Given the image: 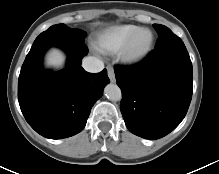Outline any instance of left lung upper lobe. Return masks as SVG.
Segmentation results:
<instances>
[{
    "label": "left lung upper lobe",
    "mask_w": 219,
    "mask_h": 174,
    "mask_svg": "<svg viewBox=\"0 0 219 174\" xmlns=\"http://www.w3.org/2000/svg\"><path fill=\"white\" fill-rule=\"evenodd\" d=\"M158 33V40L155 49L167 46H185L182 40L176 36L169 28L160 24H153Z\"/></svg>",
    "instance_id": "left-lung-upper-lobe-1"
}]
</instances>
